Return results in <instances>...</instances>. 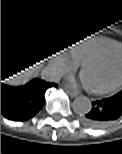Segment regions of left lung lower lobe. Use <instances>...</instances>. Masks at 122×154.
Listing matches in <instances>:
<instances>
[{
  "label": "left lung lower lobe",
  "mask_w": 122,
  "mask_h": 154,
  "mask_svg": "<svg viewBox=\"0 0 122 154\" xmlns=\"http://www.w3.org/2000/svg\"><path fill=\"white\" fill-rule=\"evenodd\" d=\"M122 116V90L116 95L92 102V109L83 115L81 123L90 128H104Z\"/></svg>",
  "instance_id": "obj_1"
}]
</instances>
